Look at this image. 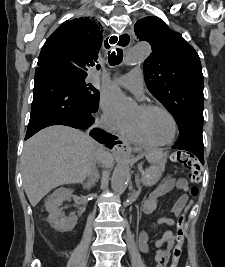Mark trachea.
Wrapping results in <instances>:
<instances>
[{
    "label": "trachea",
    "instance_id": "trachea-1",
    "mask_svg": "<svg viewBox=\"0 0 225 267\" xmlns=\"http://www.w3.org/2000/svg\"><path fill=\"white\" fill-rule=\"evenodd\" d=\"M123 37H121V39L119 40V44L122 45V42H123ZM113 42H111L112 44L116 43L118 38L116 36H113ZM129 39V37H128ZM123 59V51L122 49L118 48L116 49V52L113 51L112 53H108V61H109V64L111 66H115V65H118Z\"/></svg>",
    "mask_w": 225,
    "mask_h": 267
}]
</instances>
